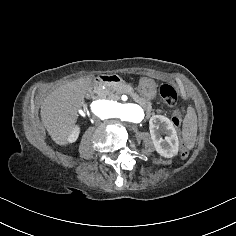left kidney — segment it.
Instances as JSON below:
<instances>
[{
    "label": "left kidney",
    "mask_w": 236,
    "mask_h": 236,
    "mask_svg": "<svg viewBox=\"0 0 236 236\" xmlns=\"http://www.w3.org/2000/svg\"><path fill=\"white\" fill-rule=\"evenodd\" d=\"M149 130L156 151L163 157L171 158L178 153L179 141L173 123L163 115H153ZM165 134V138H162Z\"/></svg>",
    "instance_id": "5707ae66"
}]
</instances>
